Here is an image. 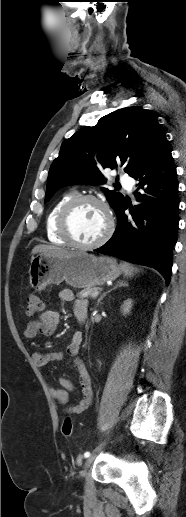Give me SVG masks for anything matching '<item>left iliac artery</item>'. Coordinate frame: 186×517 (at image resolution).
<instances>
[{
    "label": "left iliac artery",
    "instance_id": "obj_1",
    "mask_svg": "<svg viewBox=\"0 0 186 517\" xmlns=\"http://www.w3.org/2000/svg\"><path fill=\"white\" fill-rule=\"evenodd\" d=\"M89 456H90V452H88V451H87V452H85V453H84V457H85V458H87V457H89Z\"/></svg>",
    "mask_w": 186,
    "mask_h": 517
}]
</instances>
